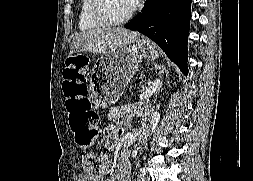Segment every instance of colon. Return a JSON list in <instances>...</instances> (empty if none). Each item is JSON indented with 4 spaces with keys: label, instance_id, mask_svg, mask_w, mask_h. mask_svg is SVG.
I'll list each match as a JSON object with an SVG mask.
<instances>
[{
    "label": "colon",
    "instance_id": "obj_1",
    "mask_svg": "<svg viewBox=\"0 0 253 181\" xmlns=\"http://www.w3.org/2000/svg\"><path fill=\"white\" fill-rule=\"evenodd\" d=\"M63 91L66 98L69 127L79 146H90L99 134V116L92 108L85 83V75L78 57H72L63 72ZM107 164V155L101 150L84 154L83 168L89 175L99 174Z\"/></svg>",
    "mask_w": 253,
    "mask_h": 181
}]
</instances>
